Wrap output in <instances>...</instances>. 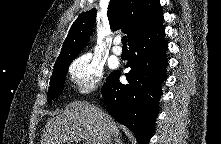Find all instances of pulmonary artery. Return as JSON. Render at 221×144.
<instances>
[{"label": "pulmonary artery", "instance_id": "pulmonary-artery-1", "mask_svg": "<svg viewBox=\"0 0 221 144\" xmlns=\"http://www.w3.org/2000/svg\"><path fill=\"white\" fill-rule=\"evenodd\" d=\"M119 44L120 38H115L114 45L112 47V52L117 56H120L122 54V48L119 46Z\"/></svg>", "mask_w": 221, "mask_h": 144}]
</instances>
